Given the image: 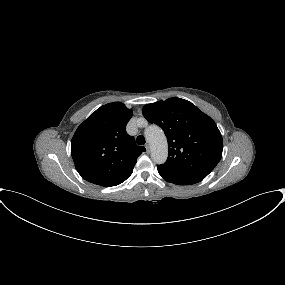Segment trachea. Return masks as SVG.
Returning a JSON list of instances; mask_svg holds the SVG:
<instances>
[{"label": "trachea", "mask_w": 285, "mask_h": 285, "mask_svg": "<svg viewBox=\"0 0 285 285\" xmlns=\"http://www.w3.org/2000/svg\"><path fill=\"white\" fill-rule=\"evenodd\" d=\"M136 142H137V144H139V145H144V144H145V138H144V136L139 135V136L136 138Z\"/></svg>", "instance_id": "obj_1"}]
</instances>
